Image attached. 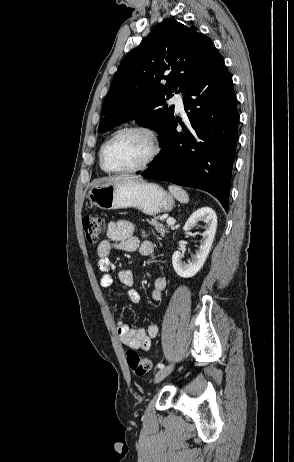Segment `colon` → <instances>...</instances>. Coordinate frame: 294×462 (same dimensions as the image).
Here are the masks:
<instances>
[{"mask_svg":"<svg viewBox=\"0 0 294 462\" xmlns=\"http://www.w3.org/2000/svg\"><path fill=\"white\" fill-rule=\"evenodd\" d=\"M83 227L87 241L90 244H96L105 232L106 221L99 216H85L83 218ZM127 362L131 370L137 375H144L151 368L150 360L134 350L127 352Z\"/></svg>","mask_w":294,"mask_h":462,"instance_id":"colon-1","label":"colon"}]
</instances>
